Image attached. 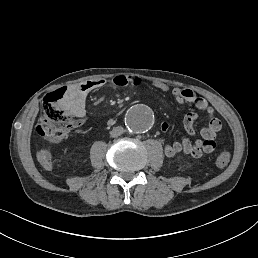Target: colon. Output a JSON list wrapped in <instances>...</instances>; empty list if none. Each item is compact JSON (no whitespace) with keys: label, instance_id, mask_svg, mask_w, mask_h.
Here are the masks:
<instances>
[{"label":"colon","instance_id":"5ec220e1","mask_svg":"<svg viewBox=\"0 0 258 258\" xmlns=\"http://www.w3.org/2000/svg\"><path fill=\"white\" fill-rule=\"evenodd\" d=\"M67 93L68 88L62 87L47 94L44 98L36 131L40 137L51 143L60 142L81 124V120L75 119L61 105ZM229 161L230 153L227 151L220 152L215 157V164L219 168L225 167Z\"/></svg>","mask_w":258,"mask_h":258}]
</instances>
